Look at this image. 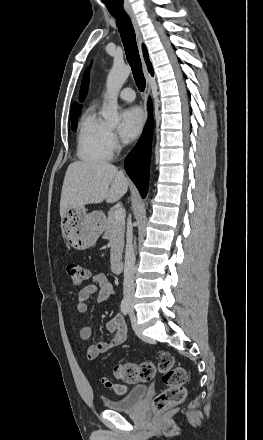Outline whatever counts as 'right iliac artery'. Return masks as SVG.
<instances>
[{
  "instance_id": "82829eb1",
  "label": "right iliac artery",
  "mask_w": 263,
  "mask_h": 440,
  "mask_svg": "<svg viewBox=\"0 0 263 440\" xmlns=\"http://www.w3.org/2000/svg\"><path fill=\"white\" fill-rule=\"evenodd\" d=\"M120 310L123 313V315H128V303H127V299L124 297L123 300L121 301V306H120Z\"/></svg>"
}]
</instances>
